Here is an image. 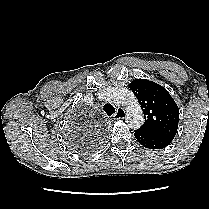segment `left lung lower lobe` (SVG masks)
Here are the masks:
<instances>
[{
  "instance_id": "0a47b994",
  "label": "left lung lower lobe",
  "mask_w": 209,
  "mask_h": 209,
  "mask_svg": "<svg viewBox=\"0 0 209 209\" xmlns=\"http://www.w3.org/2000/svg\"><path fill=\"white\" fill-rule=\"evenodd\" d=\"M134 135L139 143L148 149H163L172 141L171 139L150 135L139 130H135Z\"/></svg>"
}]
</instances>
